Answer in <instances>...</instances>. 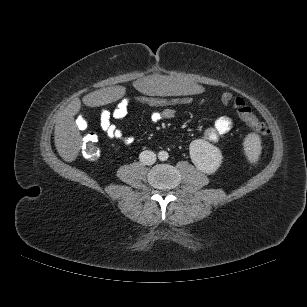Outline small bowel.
Instances as JSON below:
<instances>
[{"label": "small bowel", "mask_w": 307, "mask_h": 307, "mask_svg": "<svg viewBox=\"0 0 307 307\" xmlns=\"http://www.w3.org/2000/svg\"><path fill=\"white\" fill-rule=\"evenodd\" d=\"M127 97L122 98L113 110L103 109L100 113V127L102 131L111 139L118 140L123 144L129 145L134 142V137L126 135L124 131L114 123L113 120L124 119L128 111L124 109L123 102ZM175 116L173 108L154 110L150 114L153 122L172 119ZM232 119L228 116H220L214 125L205 131V139L210 142H218L219 139L227 134L232 128Z\"/></svg>", "instance_id": "c3829d8e"}]
</instances>
